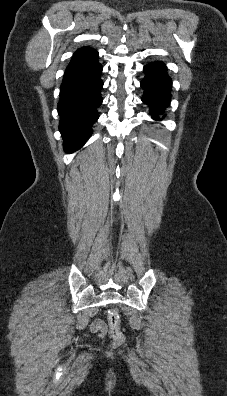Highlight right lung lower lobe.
I'll return each mask as SVG.
<instances>
[{
  "mask_svg": "<svg viewBox=\"0 0 227 396\" xmlns=\"http://www.w3.org/2000/svg\"><path fill=\"white\" fill-rule=\"evenodd\" d=\"M101 73L98 52L90 47L78 49L65 70L57 109L67 153L81 148L92 134V125L99 117L97 108L102 103Z\"/></svg>",
  "mask_w": 227,
  "mask_h": 396,
  "instance_id": "98d812e1",
  "label": "right lung lower lobe"
}]
</instances>
